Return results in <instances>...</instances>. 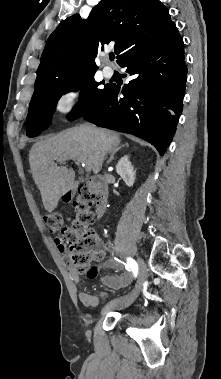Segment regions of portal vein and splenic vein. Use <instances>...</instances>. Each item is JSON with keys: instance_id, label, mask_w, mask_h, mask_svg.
Instances as JSON below:
<instances>
[{"instance_id": "18ae733b", "label": "portal vein and splenic vein", "mask_w": 221, "mask_h": 379, "mask_svg": "<svg viewBox=\"0 0 221 379\" xmlns=\"http://www.w3.org/2000/svg\"><path fill=\"white\" fill-rule=\"evenodd\" d=\"M83 165L85 166L86 171H91V169H92V163L91 162H85Z\"/></svg>"}]
</instances>
